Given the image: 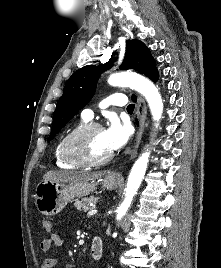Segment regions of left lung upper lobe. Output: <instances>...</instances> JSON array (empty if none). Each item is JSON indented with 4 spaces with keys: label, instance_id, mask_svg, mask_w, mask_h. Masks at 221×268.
I'll return each instance as SVG.
<instances>
[{
    "label": "left lung upper lobe",
    "instance_id": "5c2ea615",
    "mask_svg": "<svg viewBox=\"0 0 221 268\" xmlns=\"http://www.w3.org/2000/svg\"><path fill=\"white\" fill-rule=\"evenodd\" d=\"M113 57L103 65H88L76 71L66 82L64 92L58 101L49 136L51 140L68 121L93 97L101 73L112 67ZM121 69H134L152 81L157 82L159 74L149 49L140 40L126 42L125 57Z\"/></svg>",
    "mask_w": 221,
    "mask_h": 268
}]
</instances>
